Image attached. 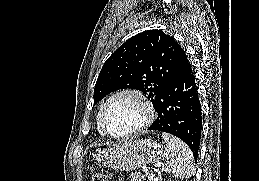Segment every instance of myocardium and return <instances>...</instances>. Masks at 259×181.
I'll list each match as a JSON object with an SVG mask.
<instances>
[{
  "label": "myocardium",
  "mask_w": 259,
  "mask_h": 181,
  "mask_svg": "<svg viewBox=\"0 0 259 181\" xmlns=\"http://www.w3.org/2000/svg\"><path fill=\"white\" fill-rule=\"evenodd\" d=\"M122 96H131L136 98L142 105L143 109H144V118L141 122V124L136 127L134 130L129 131L127 133L124 134H114L112 132H110L105 124V112L107 107L109 106V104L114 101L115 99L122 97ZM155 118V108L152 104V102L150 101V99L139 89H135V88H124L121 89L115 93H113L102 105L100 111H99V124L103 130V132L105 133V135H107L108 137H111L113 139H128V138H132L135 137L137 135H139L141 132H143L146 128H148L153 120Z\"/></svg>",
  "instance_id": "f54148a6"
}]
</instances>
